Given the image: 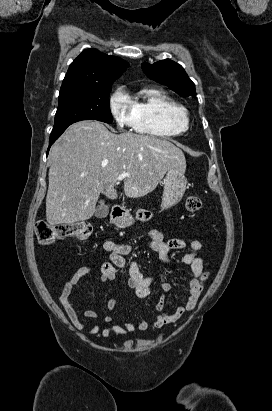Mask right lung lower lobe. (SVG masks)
Segmentation results:
<instances>
[{
  "label": "right lung lower lobe",
  "instance_id": "obj_1",
  "mask_svg": "<svg viewBox=\"0 0 272 411\" xmlns=\"http://www.w3.org/2000/svg\"><path fill=\"white\" fill-rule=\"evenodd\" d=\"M57 138H54V139H50L49 140V148H50V146L55 142V140H56ZM48 153V152H47Z\"/></svg>",
  "mask_w": 272,
  "mask_h": 411
}]
</instances>
